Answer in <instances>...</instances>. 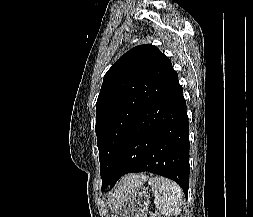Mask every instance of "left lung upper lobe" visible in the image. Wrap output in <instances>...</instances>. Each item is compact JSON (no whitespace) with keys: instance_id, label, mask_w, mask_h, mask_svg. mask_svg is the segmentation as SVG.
<instances>
[{"instance_id":"1","label":"left lung upper lobe","mask_w":253,"mask_h":217,"mask_svg":"<svg viewBox=\"0 0 253 217\" xmlns=\"http://www.w3.org/2000/svg\"><path fill=\"white\" fill-rule=\"evenodd\" d=\"M177 80L168 57L149 44L130 49L107 71L96 102L102 187L113 172L119 145L132 123Z\"/></svg>"}]
</instances>
